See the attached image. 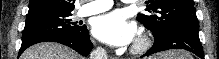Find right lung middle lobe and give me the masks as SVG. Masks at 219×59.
I'll use <instances>...</instances> for the list:
<instances>
[{
  "label": "right lung middle lobe",
  "mask_w": 219,
  "mask_h": 59,
  "mask_svg": "<svg viewBox=\"0 0 219 59\" xmlns=\"http://www.w3.org/2000/svg\"><path fill=\"white\" fill-rule=\"evenodd\" d=\"M71 12L37 10L27 14L22 41L48 34L81 35L86 27L73 22Z\"/></svg>",
  "instance_id": "obj_1"
}]
</instances>
